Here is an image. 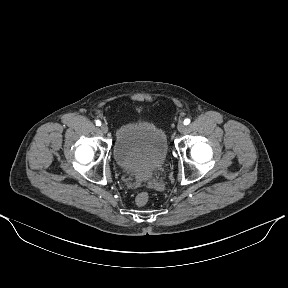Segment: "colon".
<instances>
[{
    "label": "colon",
    "instance_id": "1",
    "mask_svg": "<svg viewBox=\"0 0 288 288\" xmlns=\"http://www.w3.org/2000/svg\"><path fill=\"white\" fill-rule=\"evenodd\" d=\"M149 201V195L146 192H141L136 196V203L139 206H144Z\"/></svg>",
    "mask_w": 288,
    "mask_h": 288
}]
</instances>
